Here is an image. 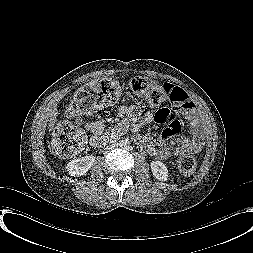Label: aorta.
Listing matches in <instances>:
<instances>
[{
	"label": "aorta",
	"mask_w": 253,
	"mask_h": 253,
	"mask_svg": "<svg viewBox=\"0 0 253 253\" xmlns=\"http://www.w3.org/2000/svg\"><path fill=\"white\" fill-rule=\"evenodd\" d=\"M119 147H120L122 150H127V149H128V144H127L125 141H122V142L119 144Z\"/></svg>",
	"instance_id": "obj_1"
}]
</instances>
